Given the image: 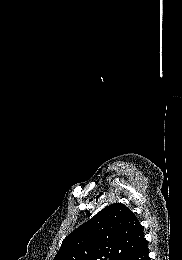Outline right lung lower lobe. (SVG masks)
<instances>
[{"mask_svg":"<svg viewBox=\"0 0 182 260\" xmlns=\"http://www.w3.org/2000/svg\"><path fill=\"white\" fill-rule=\"evenodd\" d=\"M125 260H150L148 256L147 242L135 252H133L130 256H128Z\"/></svg>","mask_w":182,"mask_h":260,"instance_id":"1","label":"right lung lower lobe"}]
</instances>
